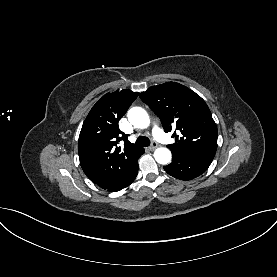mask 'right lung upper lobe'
Masks as SVG:
<instances>
[{
    "instance_id": "1",
    "label": "right lung upper lobe",
    "mask_w": 277,
    "mask_h": 277,
    "mask_svg": "<svg viewBox=\"0 0 277 277\" xmlns=\"http://www.w3.org/2000/svg\"><path fill=\"white\" fill-rule=\"evenodd\" d=\"M138 94L127 89L105 94L83 123L78 141L80 165L86 176L102 189L117 182L144 152L131 144L118 126ZM119 142L124 143L122 148Z\"/></svg>"
}]
</instances>
